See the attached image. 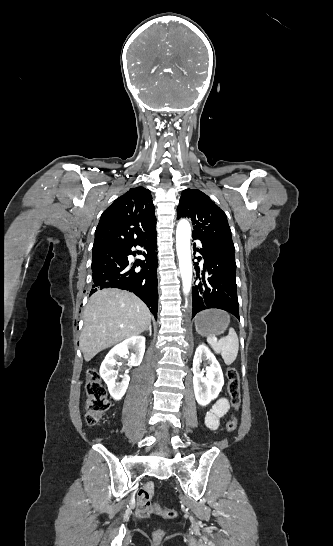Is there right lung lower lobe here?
<instances>
[{"label":"right lung lower lobe","instance_id":"right-lung-lower-lobe-1","mask_svg":"<svg viewBox=\"0 0 333 546\" xmlns=\"http://www.w3.org/2000/svg\"><path fill=\"white\" fill-rule=\"evenodd\" d=\"M141 246L145 260L128 261L136 255L132 247ZM138 253V252H137ZM141 266V270H135ZM156 231L134 240L116 239L93 246L92 278L90 295L98 289L120 288L137 295L156 316L158 311Z\"/></svg>","mask_w":333,"mask_h":546}]
</instances>
